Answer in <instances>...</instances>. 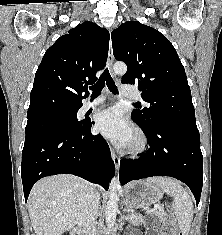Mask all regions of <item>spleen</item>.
<instances>
[{"label":"spleen","mask_w":222,"mask_h":235,"mask_svg":"<svg viewBox=\"0 0 222 235\" xmlns=\"http://www.w3.org/2000/svg\"><path fill=\"white\" fill-rule=\"evenodd\" d=\"M147 185H156L163 192L173 197V214L176 217L182 235H188L193 219V203L188 192L174 179L153 177L145 180Z\"/></svg>","instance_id":"1"}]
</instances>
